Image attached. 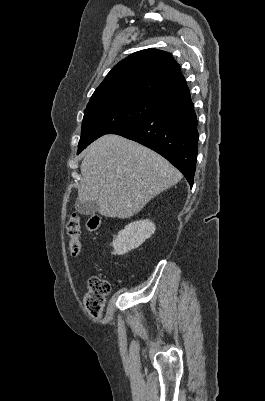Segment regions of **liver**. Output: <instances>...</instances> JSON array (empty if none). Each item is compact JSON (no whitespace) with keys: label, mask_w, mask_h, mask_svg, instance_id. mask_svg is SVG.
<instances>
[{"label":"liver","mask_w":265,"mask_h":401,"mask_svg":"<svg viewBox=\"0 0 265 401\" xmlns=\"http://www.w3.org/2000/svg\"><path fill=\"white\" fill-rule=\"evenodd\" d=\"M78 198L97 201L99 215L129 219L153 196L177 184L181 172L166 158L118 134H104L85 148Z\"/></svg>","instance_id":"obj_1"}]
</instances>
